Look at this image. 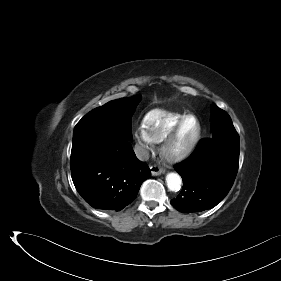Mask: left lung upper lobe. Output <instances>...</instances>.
<instances>
[{
  "instance_id": "left-lung-upper-lobe-1",
  "label": "left lung upper lobe",
  "mask_w": 281,
  "mask_h": 281,
  "mask_svg": "<svg viewBox=\"0 0 281 281\" xmlns=\"http://www.w3.org/2000/svg\"><path fill=\"white\" fill-rule=\"evenodd\" d=\"M212 139L218 141H227L238 137V134L233 126L230 116L224 110L212 105Z\"/></svg>"
}]
</instances>
